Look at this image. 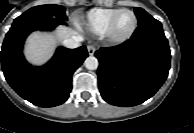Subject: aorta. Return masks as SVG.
Returning a JSON list of instances; mask_svg holds the SVG:
<instances>
[{"label": "aorta", "instance_id": "762f6f07", "mask_svg": "<svg viewBox=\"0 0 194 133\" xmlns=\"http://www.w3.org/2000/svg\"><path fill=\"white\" fill-rule=\"evenodd\" d=\"M84 65L89 70H96L98 68V59L94 56H89L85 59Z\"/></svg>", "mask_w": 194, "mask_h": 133}]
</instances>
